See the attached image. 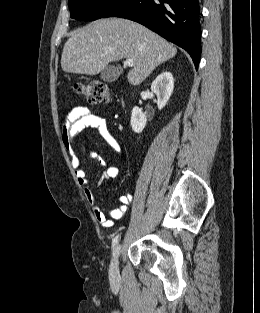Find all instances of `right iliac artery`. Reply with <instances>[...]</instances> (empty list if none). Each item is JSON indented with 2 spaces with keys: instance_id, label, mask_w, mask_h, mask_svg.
I'll return each mask as SVG.
<instances>
[{
  "instance_id": "82829eb1",
  "label": "right iliac artery",
  "mask_w": 260,
  "mask_h": 313,
  "mask_svg": "<svg viewBox=\"0 0 260 313\" xmlns=\"http://www.w3.org/2000/svg\"><path fill=\"white\" fill-rule=\"evenodd\" d=\"M118 240H119V234L116 235V236L113 238V240H112V249L115 248V246H116L117 243H118Z\"/></svg>"
}]
</instances>
